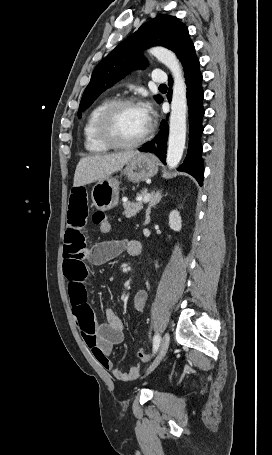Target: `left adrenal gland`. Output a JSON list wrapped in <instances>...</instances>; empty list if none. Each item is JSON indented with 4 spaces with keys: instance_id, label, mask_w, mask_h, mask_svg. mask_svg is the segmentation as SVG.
Listing matches in <instances>:
<instances>
[{
    "instance_id": "obj_1",
    "label": "left adrenal gland",
    "mask_w": 272,
    "mask_h": 455,
    "mask_svg": "<svg viewBox=\"0 0 272 455\" xmlns=\"http://www.w3.org/2000/svg\"><path fill=\"white\" fill-rule=\"evenodd\" d=\"M163 194L161 193V191H153L151 193V199H150V202H149V205H148V208L146 210V220H145V225H147L149 222H150V213H151V208L152 207H155L161 200Z\"/></svg>"
}]
</instances>
